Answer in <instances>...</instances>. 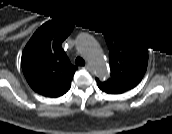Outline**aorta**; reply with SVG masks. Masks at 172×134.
Returning a JSON list of instances; mask_svg holds the SVG:
<instances>
[{
  "label": "aorta",
  "mask_w": 172,
  "mask_h": 134,
  "mask_svg": "<svg viewBox=\"0 0 172 134\" xmlns=\"http://www.w3.org/2000/svg\"><path fill=\"white\" fill-rule=\"evenodd\" d=\"M83 53L95 75L100 79H107L109 68L100 46L93 41H85Z\"/></svg>",
  "instance_id": "1"
}]
</instances>
